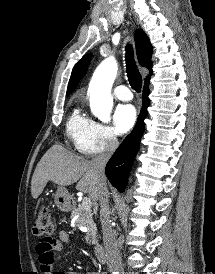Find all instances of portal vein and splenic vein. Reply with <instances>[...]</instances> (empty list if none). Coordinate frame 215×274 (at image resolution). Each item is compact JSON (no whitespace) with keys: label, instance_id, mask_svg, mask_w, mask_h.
I'll return each mask as SVG.
<instances>
[{"label":"portal vein and splenic vein","instance_id":"18ae733b","mask_svg":"<svg viewBox=\"0 0 215 274\" xmlns=\"http://www.w3.org/2000/svg\"><path fill=\"white\" fill-rule=\"evenodd\" d=\"M91 206H92L91 199H90V198H87V197H84V198L82 199V207H83L85 210H90V209H91Z\"/></svg>","mask_w":215,"mask_h":274}]
</instances>
